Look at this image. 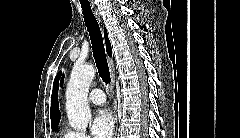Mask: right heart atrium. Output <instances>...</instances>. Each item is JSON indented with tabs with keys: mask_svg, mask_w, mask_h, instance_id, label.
I'll use <instances>...</instances> for the list:
<instances>
[{
	"mask_svg": "<svg viewBox=\"0 0 240 138\" xmlns=\"http://www.w3.org/2000/svg\"><path fill=\"white\" fill-rule=\"evenodd\" d=\"M66 135L67 138H89L85 133L73 130H68Z\"/></svg>",
	"mask_w": 240,
	"mask_h": 138,
	"instance_id": "obj_1",
	"label": "right heart atrium"
}]
</instances>
